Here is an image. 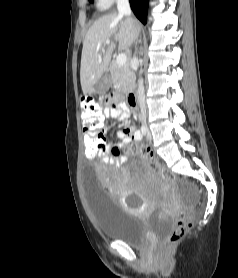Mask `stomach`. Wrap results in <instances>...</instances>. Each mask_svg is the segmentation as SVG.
<instances>
[{
    "mask_svg": "<svg viewBox=\"0 0 238 278\" xmlns=\"http://www.w3.org/2000/svg\"><path fill=\"white\" fill-rule=\"evenodd\" d=\"M112 83L111 74L108 72L104 73L97 83L96 93H105V90H107Z\"/></svg>",
    "mask_w": 238,
    "mask_h": 278,
    "instance_id": "1",
    "label": "stomach"
}]
</instances>
